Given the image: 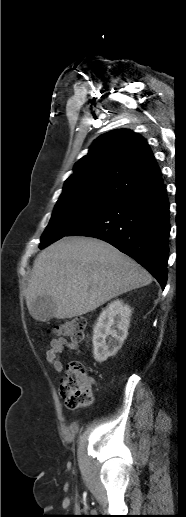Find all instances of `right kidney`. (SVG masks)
<instances>
[{"label": "right kidney", "instance_id": "1", "mask_svg": "<svg viewBox=\"0 0 186 517\" xmlns=\"http://www.w3.org/2000/svg\"><path fill=\"white\" fill-rule=\"evenodd\" d=\"M131 308L122 300L111 302L104 309L93 329V353L97 362L115 355L128 335Z\"/></svg>", "mask_w": 186, "mask_h": 517}]
</instances>
